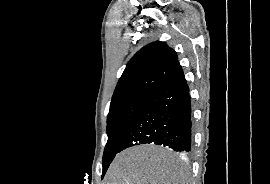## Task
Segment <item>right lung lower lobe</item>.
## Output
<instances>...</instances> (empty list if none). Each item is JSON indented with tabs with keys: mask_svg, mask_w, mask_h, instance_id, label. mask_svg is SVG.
Returning <instances> with one entry per match:
<instances>
[{
	"mask_svg": "<svg viewBox=\"0 0 270 184\" xmlns=\"http://www.w3.org/2000/svg\"><path fill=\"white\" fill-rule=\"evenodd\" d=\"M154 143L175 151L192 149V108L183 71L149 96L119 152L139 144Z\"/></svg>",
	"mask_w": 270,
	"mask_h": 184,
	"instance_id": "98d812e1",
	"label": "right lung lower lobe"
}]
</instances>
